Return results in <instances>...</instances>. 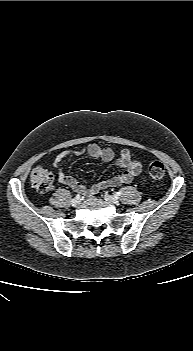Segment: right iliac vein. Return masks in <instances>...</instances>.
<instances>
[{"label": "right iliac vein", "instance_id": "63e3f726", "mask_svg": "<svg viewBox=\"0 0 193 351\" xmlns=\"http://www.w3.org/2000/svg\"><path fill=\"white\" fill-rule=\"evenodd\" d=\"M80 203H81V200H80V199H77V198H74V199H72V201H71V205H72L73 207L79 206Z\"/></svg>", "mask_w": 193, "mask_h": 351}]
</instances>
